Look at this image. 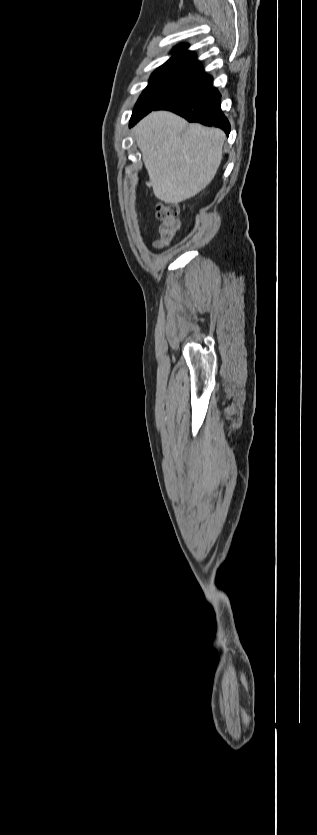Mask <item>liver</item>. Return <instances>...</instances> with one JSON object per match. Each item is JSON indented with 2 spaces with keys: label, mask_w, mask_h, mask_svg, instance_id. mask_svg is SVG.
<instances>
[{
  "label": "liver",
  "mask_w": 317,
  "mask_h": 835,
  "mask_svg": "<svg viewBox=\"0 0 317 835\" xmlns=\"http://www.w3.org/2000/svg\"><path fill=\"white\" fill-rule=\"evenodd\" d=\"M155 196L178 204L201 192L222 160L225 133L188 124L168 111H153L134 130Z\"/></svg>",
  "instance_id": "1"
}]
</instances>
